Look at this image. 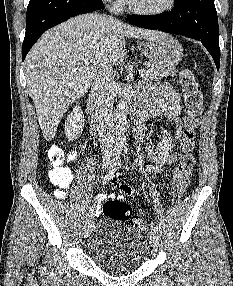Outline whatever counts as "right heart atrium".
I'll list each match as a JSON object with an SVG mask.
<instances>
[{"mask_svg": "<svg viewBox=\"0 0 233 286\" xmlns=\"http://www.w3.org/2000/svg\"><path fill=\"white\" fill-rule=\"evenodd\" d=\"M106 1H112L114 6H119L123 0H106Z\"/></svg>", "mask_w": 233, "mask_h": 286, "instance_id": "right-heart-atrium-1", "label": "right heart atrium"}]
</instances>
